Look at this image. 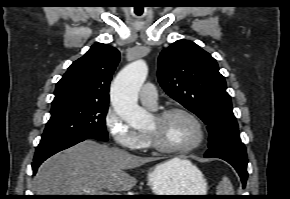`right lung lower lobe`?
<instances>
[{
  "label": "right lung lower lobe",
  "instance_id": "98d812e1",
  "mask_svg": "<svg viewBox=\"0 0 290 199\" xmlns=\"http://www.w3.org/2000/svg\"><path fill=\"white\" fill-rule=\"evenodd\" d=\"M91 137H85V138H80V139H75L72 141H65V142H59L56 144H51V145H44V146H38L36 148L35 156L32 162V168H33V174L36 173L38 167L40 164L49 158L50 156L54 155L55 153L62 151L66 148H69L81 141H84L85 139H89ZM97 139V138H94ZM99 140V139H97Z\"/></svg>",
  "mask_w": 290,
  "mask_h": 199
}]
</instances>
